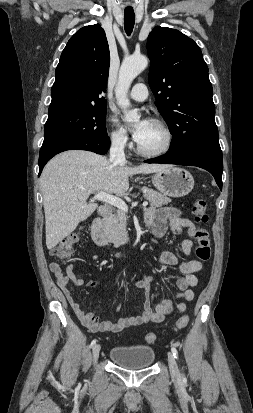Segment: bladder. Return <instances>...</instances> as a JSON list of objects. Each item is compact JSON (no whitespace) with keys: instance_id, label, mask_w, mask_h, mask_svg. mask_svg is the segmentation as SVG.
Here are the masks:
<instances>
[{"instance_id":"bladder-1","label":"bladder","mask_w":253,"mask_h":413,"mask_svg":"<svg viewBox=\"0 0 253 413\" xmlns=\"http://www.w3.org/2000/svg\"><path fill=\"white\" fill-rule=\"evenodd\" d=\"M111 361L125 369H144L155 360V351L146 345L115 346L110 351Z\"/></svg>"}]
</instances>
